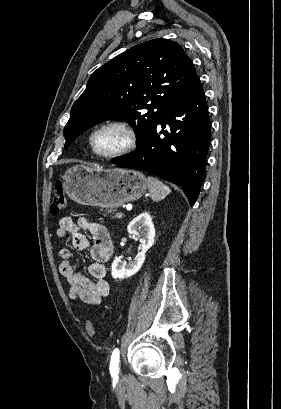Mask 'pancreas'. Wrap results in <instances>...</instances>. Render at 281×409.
<instances>
[{
    "instance_id": "1",
    "label": "pancreas",
    "mask_w": 281,
    "mask_h": 409,
    "mask_svg": "<svg viewBox=\"0 0 281 409\" xmlns=\"http://www.w3.org/2000/svg\"><path fill=\"white\" fill-rule=\"evenodd\" d=\"M107 213H113V209H106V211H104V217H107ZM113 215H116V213H113Z\"/></svg>"
}]
</instances>
